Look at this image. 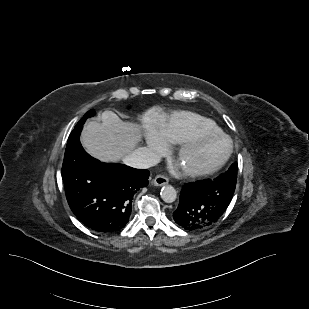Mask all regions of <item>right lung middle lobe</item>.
<instances>
[{
	"instance_id": "obj_1",
	"label": "right lung middle lobe",
	"mask_w": 309,
	"mask_h": 309,
	"mask_svg": "<svg viewBox=\"0 0 309 309\" xmlns=\"http://www.w3.org/2000/svg\"><path fill=\"white\" fill-rule=\"evenodd\" d=\"M94 115H95L94 110H90V111H88V112L83 116V118H82L78 123H80V122H85V120H86L87 118L92 117V116H94ZM78 123H77V124H78Z\"/></svg>"
}]
</instances>
